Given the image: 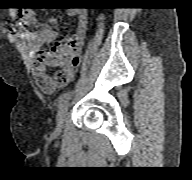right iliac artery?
<instances>
[{"instance_id":"right-iliac-artery-1","label":"right iliac artery","mask_w":192,"mask_h":180,"mask_svg":"<svg viewBox=\"0 0 192 180\" xmlns=\"http://www.w3.org/2000/svg\"><path fill=\"white\" fill-rule=\"evenodd\" d=\"M72 96V92H64L58 98V107H62Z\"/></svg>"}]
</instances>
